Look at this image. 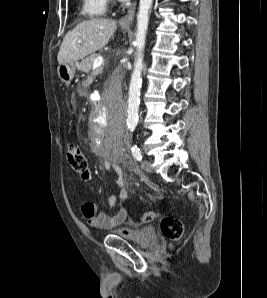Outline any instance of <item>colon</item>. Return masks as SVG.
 <instances>
[{"label":"colon","instance_id":"5ec220e1","mask_svg":"<svg viewBox=\"0 0 267 298\" xmlns=\"http://www.w3.org/2000/svg\"><path fill=\"white\" fill-rule=\"evenodd\" d=\"M66 157L71 168L80 175V177L87 178L89 174L88 162L81 151L75 144H69L66 149ZM155 218L153 211H148L141 217L142 223H147ZM160 228L162 234L171 241H177L183 235V223L177 217L167 216L161 220Z\"/></svg>","mask_w":267,"mask_h":298}]
</instances>
